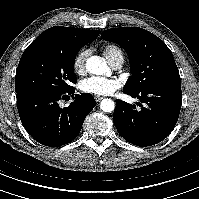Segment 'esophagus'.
I'll use <instances>...</instances> for the list:
<instances>
[{
	"mask_svg": "<svg viewBox=\"0 0 199 199\" xmlns=\"http://www.w3.org/2000/svg\"><path fill=\"white\" fill-rule=\"evenodd\" d=\"M94 98L97 102H100L103 99L101 96H94Z\"/></svg>",
	"mask_w": 199,
	"mask_h": 199,
	"instance_id": "esophagus-1",
	"label": "esophagus"
}]
</instances>
